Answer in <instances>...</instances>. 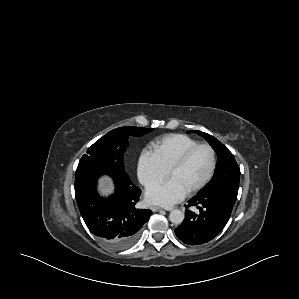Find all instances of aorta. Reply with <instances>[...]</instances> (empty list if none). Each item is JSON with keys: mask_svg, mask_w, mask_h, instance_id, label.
I'll return each mask as SVG.
<instances>
[{"mask_svg": "<svg viewBox=\"0 0 299 299\" xmlns=\"http://www.w3.org/2000/svg\"><path fill=\"white\" fill-rule=\"evenodd\" d=\"M185 218L184 213L181 210L174 209L170 212L169 219L174 224H181Z\"/></svg>", "mask_w": 299, "mask_h": 299, "instance_id": "obj_1", "label": "aorta"}]
</instances>
